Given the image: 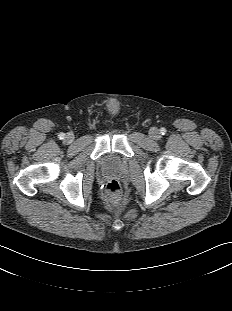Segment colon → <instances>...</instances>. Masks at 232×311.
<instances>
[{"label": "colon", "mask_w": 232, "mask_h": 311, "mask_svg": "<svg viewBox=\"0 0 232 311\" xmlns=\"http://www.w3.org/2000/svg\"><path fill=\"white\" fill-rule=\"evenodd\" d=\"M106 192L113 204H117L121 200L122 190L118 181L111 180L106 186Z\"/></svg>", "instance_id": "5ec220e1"}]
</instances>
